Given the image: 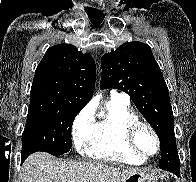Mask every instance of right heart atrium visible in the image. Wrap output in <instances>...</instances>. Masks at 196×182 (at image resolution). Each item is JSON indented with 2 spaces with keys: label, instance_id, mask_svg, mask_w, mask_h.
I'll list each match as a JSON object with an SVG mask.
<instances>
[{
  "label": "right heart atrium",
  "instance_id": "d8ad5b80",
  "mask_svg": "<svg viewBox=\"0 0 196 182\" xmlns=\"http://www.w3.org/2000/svg\"><path fill=\"white\" fill-rule=\"evenodd\" d=\"M93 128L94 109L87 106L79 112L72 125V136L78 151L85 150L89 144Z\"/></svg>",
  "mask_w": 196,
  "mask_h": 182
}]
</instances>
